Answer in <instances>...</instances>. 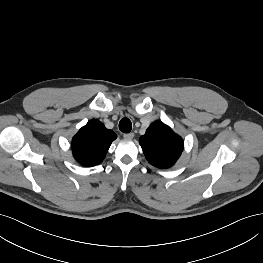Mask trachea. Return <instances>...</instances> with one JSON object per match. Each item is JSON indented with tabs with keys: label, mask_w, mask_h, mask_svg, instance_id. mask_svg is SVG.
Masks as SVG:
<instances>
[{
	"label": "trachea",
	"mask_w": 263,
	"mask_h": 263,
	"mask_svg": "<svg viewBox=\"0 0 263 263\" xmlns=\"http://www.w3.org/2000/svg\"><path fill=\"white\" fill-rule=\"evenodd\" d=\"M119 129L123 133H129L132 129V123L128 118H123L119 122Z\"/></svg>",
	"instance_id": "obj_1"
}]
</instances>
